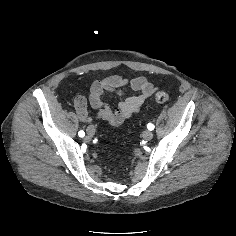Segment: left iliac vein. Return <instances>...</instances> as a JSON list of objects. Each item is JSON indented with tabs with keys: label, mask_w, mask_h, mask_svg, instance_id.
<instances>
[{
	"label": "left iliac vein",
	"mask_w": 236,
	"mask_h": 236,
	"mask_svg": "<svg viewBox=\"0 0 236 236\" xmlns=\"http://www.w3.org/2000/svg\"><path fill=\"white\" fill-rule=\"evenodd\" d=\"M143 138L147 141L151 140L153 138V133L149 130H145L142 134Z\"/></svg>",
	"instance_id": "obj_1"
}]
</instances>
